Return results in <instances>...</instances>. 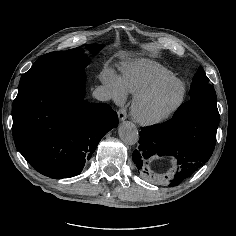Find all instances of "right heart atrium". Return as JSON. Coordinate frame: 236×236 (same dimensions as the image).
Listing matches in <instances>:
<instances>
[{"instance_id": "right-heart-atrium-1", "label": "right heart atrium", "mask_w": 236, "mask_h": 236, "mask_svg": "<svg viewBox=\"0 0 236 236\" xmlns=\"http://www.w3.org/2000/svg\"><path fill=\"white\" fill-rule=\"evenodd\" d=\"M102 83L109 93V97L117 104L122 105L127 99V90L121 77L111 69H105L102 73Z\"/></svg>"}]
</instances>
